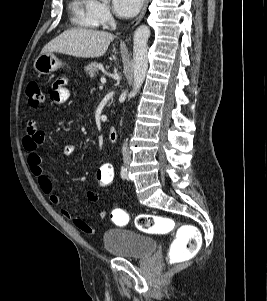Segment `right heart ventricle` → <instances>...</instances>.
I'll return each instance as SVG.
<instances>
[{
	"instance_id": "right-heart-ventricle-1",
	"label": "right heart ventricle",
	"mask_w": 267,
	"mask_h": 301,
	"mask_svg": "<svg viewBox=\"0 0 267 301\" xmlns=\"http://www.w3.org/2000/svg\"><path fill=\"white\" fill-rule=\"evenodd\" d=\"M95 0H72L70 11L72 22L81 28L95 29L99 26L94 15Z\"/></svg>"
}]
</instances>
